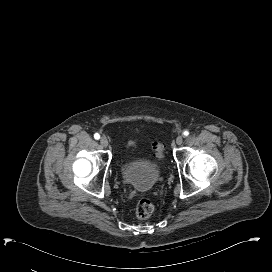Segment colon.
<instances>
[{
	"instance_id": "obj_1",
	"label": "colon",
	"mask_w": 272,
	"mask_h": 272,
	"mask_svg": "<svg viewBox=\"0 0 272 272\" xmlns=\"http://www.w3.org/2000/svg\"><path fill=\"white\" fill-rule=\"evenodd\" d=\"M163 144L155 143L154 145V155L156 158L161 159L163 157ZM154 210V205L148 198H142L138 201L135 207V214L139 219H148Z\"/></svg>"
}]
</instances>
